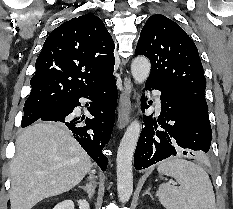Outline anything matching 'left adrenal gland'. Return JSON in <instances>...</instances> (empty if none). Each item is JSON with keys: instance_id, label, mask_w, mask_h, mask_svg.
Instances as JSON below:
<instances>
[{"instance_id": "obj_1", "label": "left adrenal gland", "mask_w": 233, "mask_h": 209, "mask_svg": "<svg viewBox=\"0 0 233 209\" xmlns=\"http://www.w3.org/2000/svg\"><path fill=\"white\" fill-rule=\"evenodd\" d=\"M146 194H148L151 198H153L152 195L150 194V187L143 193V196Z\"/></svg>"}]
</instances>
